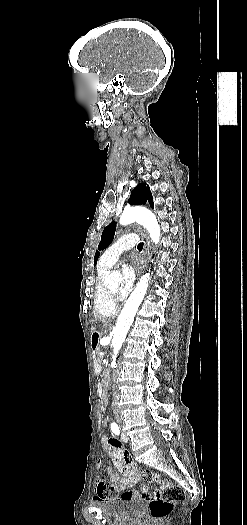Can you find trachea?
Instances as JSON below:
<instances>
[{
    "instance_id": "3493384b",
    "label": "trachea",
    "mask_w": 247,
    "mask_h": 525,
    "mask_svg": "<svg viewBox=\"0 0 247 525\" xmlns=\"http://www.w3.org/2000/svg\"><path fill=\"white\" fill-rule=\"evenodd\" d=\"M143 247H144V243L143 242L138 243V245H137L138 250H142Z\"/></svg>"
}]
</instances>
